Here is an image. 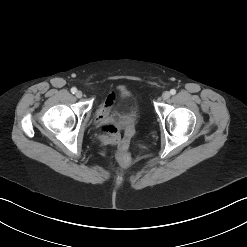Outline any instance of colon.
<instances>
[{
  "instance_id": "1",
  "label": "colon",
  "mask_w": 247,
  "mask_h": 247,
  "mask_svg": "<svg viewBox=\"0 0 247 247\" xmlns=\"http://www.w3.org/2000/svg\"><path fill=\"white\" fill-rule=\"evenodd\" d=\"M116 159L121 167H125L130 162V156L126 151H118L116 154Z\"/></svg>"
}]
</instances>
